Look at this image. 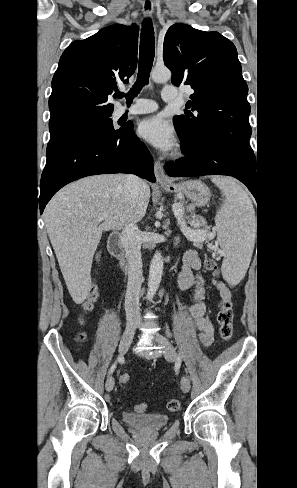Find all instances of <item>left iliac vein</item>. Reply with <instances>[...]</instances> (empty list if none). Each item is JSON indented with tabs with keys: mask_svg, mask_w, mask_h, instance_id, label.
I'll return each instance as SVG.
<instances>
[{
	"mask_svg": "<svg viewBox=\"0 0 297 488\" xmlns=\"http://www.w3.org/2000/svg\"><path fill=\"white\" fill-rule=\"evenodd\" d=\"M155 340L163 346L165 359L170 362L175 361L176 351L170 342L160 334L155 335ZM181 389L184 393H188L190 390V380L187 376H183L181 379Z\"/></svg>",
	"mask_w": 297,
	"mask_h": 488,
	"instance_id": "4c4485c4",
	"label": "left iliac vein"
}]
</instances>
